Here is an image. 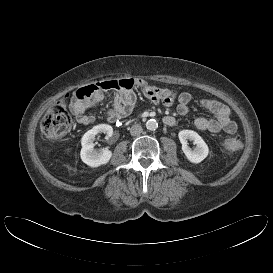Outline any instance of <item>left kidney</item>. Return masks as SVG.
<instances>
[{"label":"left kidney","instance_id":"1","mask_svg":"<svg viewBox=\"0 0 273 273\" xmlns=\"http://www.w3.org/2000/svg\"><path fill=\"white\" fill-rule=\"evenodd\" d=\"M178 137L182 144V150L190 162L197 164L207 157L209 153L208 146L198 133L192 130H182L179 132ZM187 140L194 141L196 145L194 150L187 145Z\"/></svg>","mask_w":273,"mask_h":273}]
</instances>
